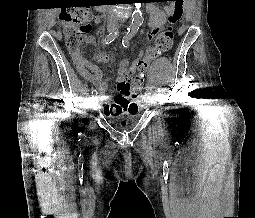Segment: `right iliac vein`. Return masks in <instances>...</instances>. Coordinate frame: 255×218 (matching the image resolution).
<instances>
[{
    "label": "right iliac vein",
    "mask_w": 255,
    "mask_h": 218,
    "mask_svg": "<svg viewBox=\"0 0 255 218\" xmlns=\"http://www.w3.org/2000/svg\"><path fill=\"white\" fill-rule=\"evenodd\" d=\"M98 98H99V97H98L97 95H95V96L93 97V103H94V104H96V103H97Z\"/></svg>",
    "instance_id": "1"
}]
</instances>
